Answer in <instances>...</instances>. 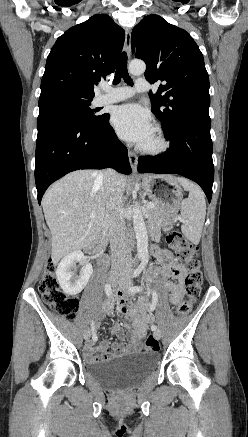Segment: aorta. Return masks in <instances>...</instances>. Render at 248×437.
<instances>
[{"label":"aorta","mask_w":248,"mask_h":437,"mask_svg":"<svg viewBox=\"0 0 248 437\" xmlns=\"http://www.w3.org/2000/svg\"><path fill=\"white\" fill-rule=\"evenodd\" d=\"M145 69L146 65L141 60H133L129 64V72L133 75H141L145 72ZM132 213L138 258L145 260L148 259V233L142 211L137 203L133 206Z\"/></svg>","instance_id":"aorta-1"}]
</instances>
